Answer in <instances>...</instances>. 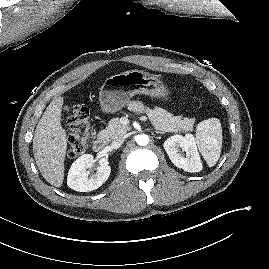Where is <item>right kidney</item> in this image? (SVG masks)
Returning <instances> with one entry per match:
<instances>
[{
  "instance_id": "obj_1",
  "label": "right kidney",
  "mask_w": 269,
  "mask_h": 269,
  "mask_svg": "<svg viewBox=\"0 0 269 269\" xmlns=\"http://www.w3.org/2000/svg\"><path fill=\"white\" fill-rule=\"evenodd\" d=\"M94 163L95 160L92 154H84L74 161L67 176V185L69 188L79 192H89L103 185L110 176L111 168L103 164L89 178V173L86 170L88 168L90 169Z\"/></svg>"
}]
</instances>
